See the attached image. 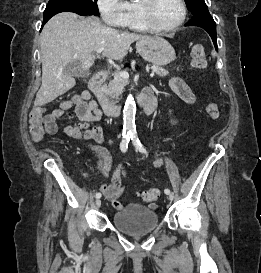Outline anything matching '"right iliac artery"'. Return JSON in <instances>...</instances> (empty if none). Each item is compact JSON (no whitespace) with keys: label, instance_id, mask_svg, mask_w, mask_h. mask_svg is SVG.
<instances>
[{"label":"right iliac artery","instance_id":"obj_1","mask_svg":"<svg viewBox=\"0 0 261 273\" xmlns=\"http://www.w3.org/2000/svg\"><path fill=\"white\" fill-rule=\"evenodd\" d=\"M130 138H131L130 137V131L124 129L123 130V138H122V141L120 143V149H121L122 152H126L127 151L128 143L130 141ZM95 197L97 199H99L101 197V193L100 192L96 193Z\"/></svg>","mask_w":261,"mask_h":273}]
</instances>
